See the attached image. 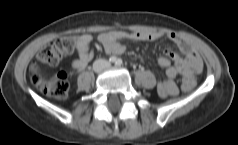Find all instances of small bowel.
I'll list each match as a JSON object with an SVG mask.
<instances>
[{"label":"small bowel","mask_w":238,"mask_h":145,"mask_svg":"<svg viewBox=\"0 0 238 145\" xmlns=\"http://www.w3.org/2000/svg\"><path fill=\"white\" fill-rule=\"evenodd\" d=\"M164 37L174 42L183 54L182 56L172 49H167L165 56L158 59L159 66L166 69V74L165 78L158 83L157 90L161 97H168L175 96L179 92L175 82L178 75L183 77V82L189 83L188 87H183L185 91H188L195 85V74L202 70V61L188 39L173 32L112 30L101 33L97 42L107 53L117 55L125 51L122 40L153 41ZM75 39L78 58L74 59L71 65L76 71H82L94 55V38L89 33H81L76 35ZM169 59L174 61L173 65Z\"/></svg>","instance_id":"obj_1"}]
</instances>
